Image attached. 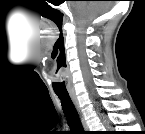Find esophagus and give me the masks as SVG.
I'll return each mask as SVG.
<instances>
[{
	"mask_svg": "<svg viewBox=\"0 0 145 134\" xmlns=\"http://www.w3.org/2000/svg\"><path fill=\"white\" fill-rule=\"evenodd\" d=\"M71 99H72V102H73V104H74V106H75V108L77 110V113L79 115V118H80V121L82 123V126H83L84 130L87 131L88 130V125H87V122H86V120L84 118V115L82 113L81 107L79 105V102H78L76 96H71Z\"/></svg>",
	"mask_w": 145,
	"mask_h": 134,
	"instance_id": "34e87169",
	"label": "esophagus"
}]
</instances>
